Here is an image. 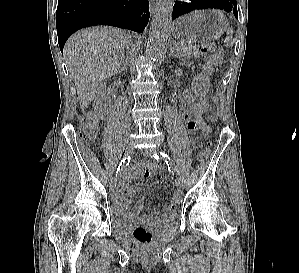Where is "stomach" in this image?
Here are the masks:
<instances>
[{"label":"stomach","instance_id":"0dacf381","mask_svg":"<svg viewBox=\"0 0 299 273\" xmlns=\"http://www.w3.org/2000/svg\"><path fill=\"white\" fill-rule=\"evenodd\" d=\"M227 28L228 20L221 12L200 10L176 20L173 34L181 41L202 43L217 39Z\"/></svg>","mask_w":299,"mask_h":273}]
</instances>
